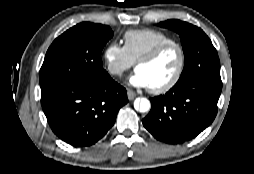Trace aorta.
Returning <instances> with one entry per match:
<instances>
[{
	"mask_svg": "<svg viewBox=\"0 0 254 174\" xmlns=\"http://www.w3.org/2000/svg\"><path fill=\"white\" fill-rule=\"evenodd\" d=\"M134 107L136 110L144 113L150 110L151 104L147 98H138L134 102Z\"/></svg>",
	"mask_w": 254,
	"mask_h": 174,
	"instance_id": "762f6f07",
	"label": "aorta"
}]
</instances>
